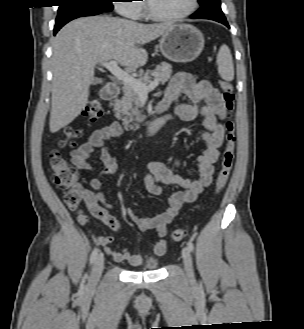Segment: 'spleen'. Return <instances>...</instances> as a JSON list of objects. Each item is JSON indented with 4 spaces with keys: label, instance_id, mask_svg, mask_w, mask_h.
I'll return each mask as SVG.
<instances>
[{
    "label": "spleen",
    "instance_id": "3e777b00",
    "mask_svg": "<svg viewBox=\"0 0 304 329\" xmlns=\"http://www.w3.org/2000/svg\"><path fill=\"white\" fill-rule=\"evenodd\" d=\"M218 72L222 79L232 81L234 79V65L230 49L222 45L217 54Z\"/></svg>",
    "mask_w": 304,
    "mask_h": 329
}]
</instances>
